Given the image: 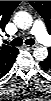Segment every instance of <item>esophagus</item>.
Returning a JSON list of instances; mask_svg holds the SVG:
<instances>
[{"label": "esophagus", "instance_id": "1", "mask_svg": "<svg viewBox=\"0 0 51 101\" xmlns=\"http://www.w3.org/2000/svg\"><path fill=\"white\" fill-rule=\"evenodd\" d=\"M35 47V45H32V46H29L28 48H34Z\"/></svg>", "mask_w": 51, "mask_h": 101}]
</instances>
